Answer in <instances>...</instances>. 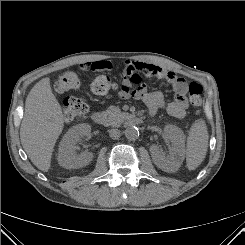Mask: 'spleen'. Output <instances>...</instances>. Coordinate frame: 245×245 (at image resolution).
I'll list each match as a JSON object with an SVG mask.
<instances>
[{
	"mask_svg": "<svg viewBox=\"0 0 245 245\" xmlns=\"http://www.w3.org/2000/svg\"><path fill=\"white\" fill-rule=\"evenodd\" d=\"M208 145V132L202 119L196 120L187 138V168L194 170L204 160Z\"/></svg>",
	"mask_w": 245,
	"mask_h": 245,
	"instance_id": "spleen-1",
	"label": "spleen"
}]
</instances>
